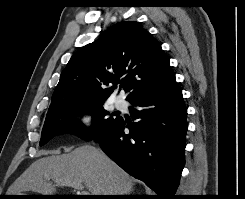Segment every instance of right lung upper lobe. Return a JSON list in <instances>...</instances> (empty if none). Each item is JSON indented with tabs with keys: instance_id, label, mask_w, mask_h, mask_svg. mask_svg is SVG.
<instances>
[{
	"instance_id": "cb5924a9",
	"label": "right lung upper lobe",
	"mask_w": 245,
	"mask_h": 199,
	"mask_svg": "<svg viewBox=\"0 0 245 199\" xmlns=\"http://www.w3.org/2000/svg\"><path fill=\"white\" fill-rule=\"evenodd\" d=\"M174 81L160 43L140 23L120 22L71 57L47 116L75 104L103 103L118 83L130 101L161 91ZM108 84L113 86L104 88Z\"/></svg>"
}]
</instances>
